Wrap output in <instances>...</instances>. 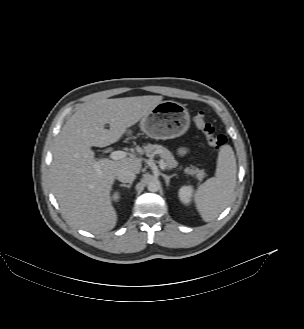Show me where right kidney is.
<instances>
[{
  "label": "right kidney",
  "instance_id": "ca27d5eb",
  "mask_svg": "<svg viewBox=\"0 0 304 329\" xmlns=\"http://www.w3.org/2000/svg\"><path fill=\"white\" fill-rule=\"evenodd\" d=\"M113 199H114L115 201H118V200L120 199V195H119L118 192H115V193H114V195H113Z\"/></svg>",
  "mask_w": 304,
  "mask_h": 329
}]
</instances>
